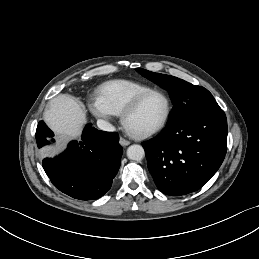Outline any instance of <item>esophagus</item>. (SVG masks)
Masks as SVG:
<instances>
[{"label":"esophagus","mask_w":259,"mask_h":259,"mask_svg":"<svg viewBox=\"0 0 259 259\" xmlns=\"http://www.w3.org/2000/svg\"><path fill=\"white\" fill-rule=\"evenodd\" d=\"M119 142L122 146H128L130 144V141H128L122 137L120 138Z\"/></svg>","instance_id":"esophagus-1"}]
</instances>
